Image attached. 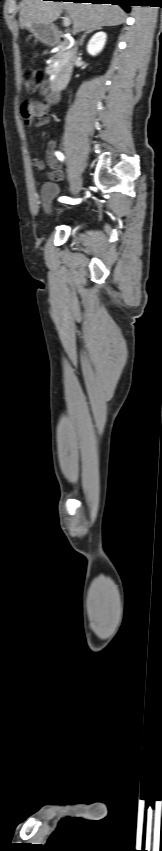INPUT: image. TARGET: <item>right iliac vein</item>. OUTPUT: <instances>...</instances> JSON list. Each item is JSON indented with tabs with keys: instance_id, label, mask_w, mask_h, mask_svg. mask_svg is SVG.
<instances>
[{
	"instance_id": "obj_1",
	"label": "right iliac vein",
	"mask_w": 162,
	"mask_h": 851,
	"mask_svg": "<svg viewBox=\"0 0 162 851\" xmlns=\"http://www.w3.org/2000/svg\"><path fill=\"white\" fill-rule=\"evenodd\" d=\"M81 186H82V180H81V178H79V177L75 178V179L72 181V186H71V192H72V194H73V195H77V194L79 193L80 189H81Z\"/></svg>"
}]
</instances>
